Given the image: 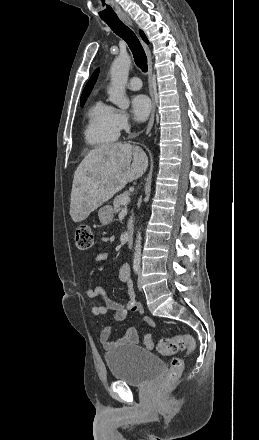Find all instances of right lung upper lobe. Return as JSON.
Segmentation results:
<instances>
[{
  "label": "right lung upper lobe",
  "mask_w": 259,
  "mask_h": 440,
  "mask_svg": "<svg viewBox=\"0 0 259 440\" xmlns=\"http://www.w3.org/2000/svg\"><path fill=\"white\" fill-rule=\"evenodd\" d=\"M140 35H141V37L143 38V40H144L146 43H148V40H147L145 34H144L143 31H141V30H140ZM98 73H99V69H97V70L93 73V75L91 76L90 80L88 81L87 85L85 86V88H84V90H83V93H82L81 99H82V98H87L88 95L90 94V92H91V90H92V88H93V86H94V84H95V82H96V80H97Z\"/></svg>",
  "instance_id": "right-lung-upper-lobe-1"
}]
</instances>
